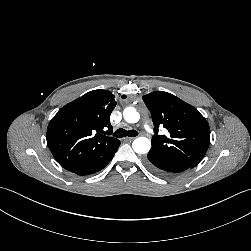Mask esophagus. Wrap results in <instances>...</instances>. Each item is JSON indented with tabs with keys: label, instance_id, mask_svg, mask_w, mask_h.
Wrapping results in <instances>:
<instances>
[{
	"label": "esophagus",
	"instance_id": "34e87169",
	"mask_svg": "<svg viewBox=\"0 0 251 251\" xmlns=\"http://www.w3.org/2000/svg\"><path fill=\"white\" fill-rule=\"evenodd\" d=\"M135 139V137H127L125 138L126 141H133Z\"/></svg>",
	"mask_w": 251,
	"mask_h": 251
}]
</instances>
